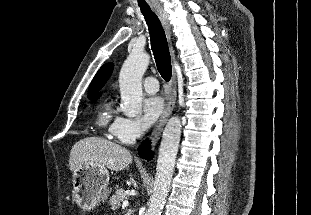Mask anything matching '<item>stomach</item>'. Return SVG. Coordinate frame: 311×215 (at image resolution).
I'll list each match as a JSON object with an SVG mask.
<instances>
[{"mask_svg":"<svg viewBox=\"0 0 311 215\" xmlns=\"http://www.w3.org/2000/svg\"><path fill=\"white\" fill-rule=\"evenodd\" d=\"M105 167L83 164L73 173L74 201L83 210H91L107 199L111 189Z\"/></svg>","mask_w":311,"mask_h":215,"instance_id":"stomach-1","label":"stomach"}]
</instances>
